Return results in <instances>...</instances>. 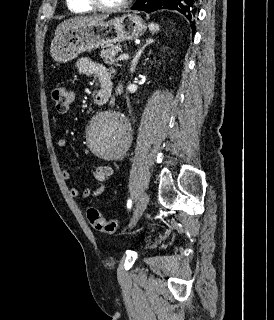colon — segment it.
<instances>
[{
	"instance_id": "1",
	"label": "colon",
	"mask_w": 274,
	"mask_h": 320,
	"mask_svg": "<svg viewBox=\"0 0 274 320\" xmlns=\"http://www.w3.org/2000/svg\"><path fill=\"white\" fill-rule=\"evenodd\" d=\"M51 96L59 113H65L74 100L72 91L65 86L54 87ZM87 217L94 229L100 233L112 234L117 229L118 219L106 220L95 207L87 210Z\"/></svg>"
}]
</instances>
